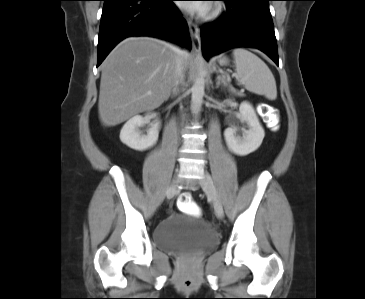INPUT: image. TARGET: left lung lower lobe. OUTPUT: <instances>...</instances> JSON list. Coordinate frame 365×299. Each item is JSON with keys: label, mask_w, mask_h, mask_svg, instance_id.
Wrapping results in <instances>:
<instances>
[{"label": "left lung lower lobe", "mask_w": 365, "mask_h": 299, "mask_svg": "<svg viewBox=\"0 0 365 299\" xmlns=\"http://www.w3.org/2000/svg\"><path fill=\"white\" fill-rule=\"evenodd\" d=\"M226 12L201 28L204 57L233 47H254L279 64L274 25L269 10L271 0H221Z\"/></svg>", "instance_id": "obj_1"}]
</instances>
